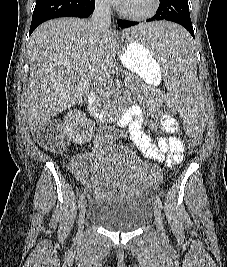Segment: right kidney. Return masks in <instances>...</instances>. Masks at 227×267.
<instances>
[{"instance_id":"1","label":"right kidney","mask_w":227,"mask_h":267,"mask_svg":"<svg viewBox=\"0 0 227 267\" xmlns=\"http://www.w3.org/2000/svg\"><path fill=\"white\" fill-rule=\"evenodd\" d=\"M63 125L68 138L76 144H85L94 135L95 123L87 119L84 112L77 109L65 115Z\"/></svg>"}]
</instances>
